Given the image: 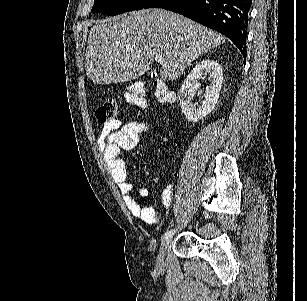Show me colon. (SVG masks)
<instances>
[{"label":"colon","instance_id":"5ec220e1","mask_svg":"<svg viewBox=\"0 0 307 301\" xmlns=\"http://www.w3.org/2000/svg\"><path fill=\"white\" fill-rule=\"evenodd\" d=\"M153 88L155 90L156 99L159 102H171L174 99L173 92L167 85L161 81H154ZM126 101L138 108L146 107V89L143 82H132L127 89L125 95ZM117 103L114 99L106 100L102 105L96 109V118L100 123H108L116 120Z\"/></svg>","mask_w":307,"mask_h":301}]
</instances>
